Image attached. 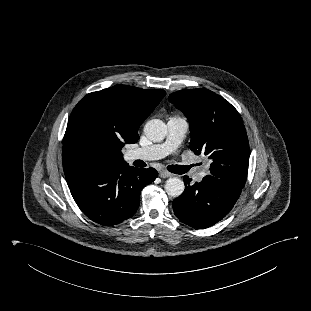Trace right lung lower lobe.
Here are the masks:
<instances>
[{
    "mask_svg": "<svg viewBox=\"0 0 311 311\" xmlns=\"http://www.w3.org/2000/svg\"><path fill=\"white\" fill-rule=\"evenodd\" d=\"M70 192L80 210L92 221L112 226L132 217L142 188L155 180L154 168L102 163L64 170Z\"/></svg>",
    "mask_w": 311,
    "mask_h": 311,
    "instance_id": "right-lung-lower-lobe-1",
    "label": "right lung lower lobe"
}]
</instances>
